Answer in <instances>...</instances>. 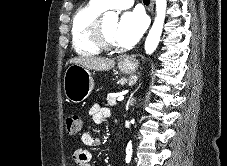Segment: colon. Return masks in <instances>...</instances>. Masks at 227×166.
<instances>
[{
  "label": "colon",
  "mask_w": 227,
  "mask_h": 166,
  "mask_svg": "<svg viewBox=\"0 0 227 166\" xmlns=\"http://www.w3.org/2000/svg\"><path fill=\"white\" fill-rule=\"evenodd\" d=\"M65 123L67 134L70 136L78 134L84 128V122L78 114H69Z\"/></svg>",
  "instance_id": "obj_1"
}]
</instances>
